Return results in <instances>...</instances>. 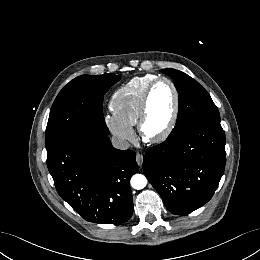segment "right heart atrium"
<instances>
[{
	"instance_id": "right-heart-atrium-1",
	"label": "right heart atrium",
	"mask_w": 260,
	"mask_h": 260,
	"mask_svg": "<svg viewBox=\"0 0 260 260\" xmlns=\"http://www.w3.org/2000/svg\"><path fill=\"white\" fill-rule=\"evenodd\" d=\"M105 123L111 133L122 143H129L134 140L135 133L132 126L126 124L115 114H107L104 117Z\"/></svg>"
}]
</instances>
